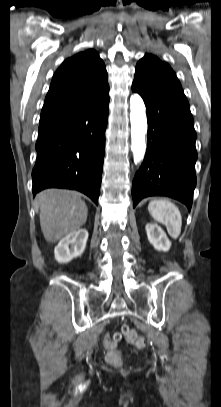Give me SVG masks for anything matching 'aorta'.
Here are the masks:
<instances>
[{"instance_id":"1","label":"aorta","mask_w":221,"mask_h":407,"mask_svg":"<svg viewBox=\"0 0 221 407\" xmlns=\"http://www.w3.org/2000/svg\"><path fill=\"white\" fill-rule=\"evenodd\" d=\"M130 121H131V150L134 163H140L145 155V135L147 133V117L145 105L138 94L130 97Z\"/></svg>"}]
</instances>
